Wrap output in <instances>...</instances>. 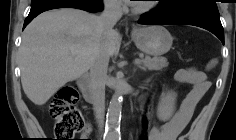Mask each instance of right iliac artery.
<instances>
[{"mask_svg": "<svg viewBox=\"0 0 236 140\" xmlns=\"http://www.w3.org/2000/svg\"><path fill=\"white\" fill-rule=\"evenodd\" d=\"M103 139H104V140H110V138H109V137H108V138H105V137H104Z\"/></svg>", "mask_w": 236, "mask_h": 140, "instance_id": "right-iliac-artery-1", "label": "right iliac artery"}]
</instances>
